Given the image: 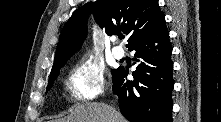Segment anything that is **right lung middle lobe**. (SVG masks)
Here are the masks:
<instances>
[{
    "label": "right lung middle lobe",
    "instance_id": "right-lung-middle-lobe-1",
    "mask_svg": "<svg viewBox=\"0 0 221 122\" xmlns=\"http://www.w3.org/2000/svg\"><path fill=\"white\" fill-rule=\"evenodd\" d=\"M112 75L116 72V69H113L112 71ZM59 74V71H56L54 73H51L50 74V79H49V83H48V86H47V90H49L54 82V80L57 78Z\"/></svg>",
    "mask_w": 221,
    "mask_h": 122
}]
</instances>
